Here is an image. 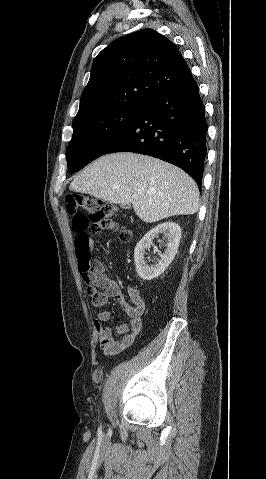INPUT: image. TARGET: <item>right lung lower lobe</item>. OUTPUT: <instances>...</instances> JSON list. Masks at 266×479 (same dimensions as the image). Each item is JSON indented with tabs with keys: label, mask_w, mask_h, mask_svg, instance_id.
<instances>
[{
	"label": "right lung lower lobe",
	"mask_w": 266,
	"mask_h": 479,
	"mask_svg": "<svg viewBox=\"0 0 266 479\" xmlns=\"http://www.w3.org/2000/svg\"><path fill=\"white\" fill-rule=\"evenodd\" d=\"M208 125L193 77L151 100L103 155L135 152L172 163L186 171L201 191Z\"/></svg>",
	"instance_id": "right-lung-lower-lobe-1"
}]
</instances>
